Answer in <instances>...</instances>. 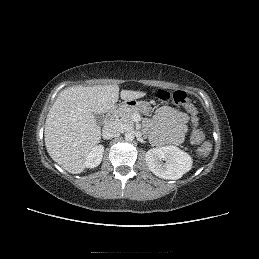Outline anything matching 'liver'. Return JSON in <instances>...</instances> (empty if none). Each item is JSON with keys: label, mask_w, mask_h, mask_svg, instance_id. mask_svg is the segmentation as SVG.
Wrapping results in <instances>:
<instances>
[{"label": "liver", "mask_w": 259, "mask_h": 259, "mask_svg": "<svg viewBox=\"0 0 259 259\" xmlns=\"http://www.w3.org/2000/svg\"><path fill=\"white\" fill-rule=\"evenodd\" d=\"M145 94L122 90L120 97L130 100ZM118 99V85L73 86L61 91L45 123V146L50 157L69 173L83 172L89 152L101 139L94 114L108 112Z\"/></svg>", "instance_id": "1"}]
</instances>
